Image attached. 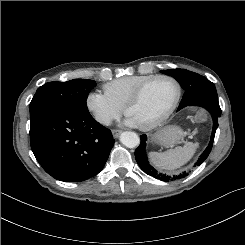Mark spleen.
<instances>
[{
	"label": "spleen",
	"mask_w": 245,
	"mask_h": 245,
	"mask_svg": "<svg viewBox=\"0 0 245 245\" xmlns=\"http://www.w3.org/2000/svg\"><path fill=\"white\" fill-rule=\"evenodd\" d=\"M199 144L187 142L183 147L178 146L165 152H150L151 163L159 170H174L186 164L195 154Z\"/></svg>",
	"instance_id": "obj_1"
}]
</instances>
